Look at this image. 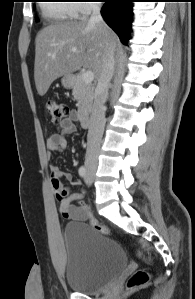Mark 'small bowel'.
Returning a JSON list of instances; mask_svg holds the SVG:
<instances>
[{
  "label": "small bowel",
  "instance_id": "small-bowel-1",
  "mask_svg": "<svg viewBox=\"0 0 195 299\" xmlns=\"http://www.w3.org/2000/svg\"><path fill=\"white\" fill-rule=\"evenodd\" d=\"M78 115L77 112L72 110L68 116V118L64 119L60 123V129L58 132L53 133L47 140V148L50 151H63L67 146L66 136L72 133L76 128V121ZM60 179H64L68 182H71L73 185H79L78 182L72 181L71 174L62 171L57 166H52L51 168V182L52 187L56 190L64 193L63 199H58L59 202V210L62 216L66 219L71 220H83L84 218L79 213L80 205H74V201H79L83 198V192H76L73 194H69V189L65 188ZM58 181V188H56V183Z\"/></svg>",
  "mask_w": 195,
  "mask_h": 299
}]
</instances>
